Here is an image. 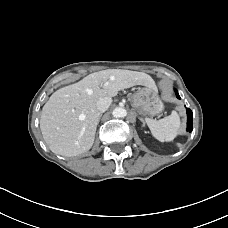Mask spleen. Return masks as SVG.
I'll list each match as a JSON object with an SVG mask.
<instances>
[{"mask_svg":"<svg viewBox=\"0 0 228 228\" xmlns=\"http://www.w3.org/2000/svg\"><path fill=\"white\" fill-rule=\"evenodd\" d=\"M145 120L152 135L161 142L172 141L177 136L181 124L180 117L176 111L160 120L151 118H146Z\"/></svg>","mask_w":228,"mask_h":228,"instance_id":"obj_1","label":"spleen"}]
</instances>
